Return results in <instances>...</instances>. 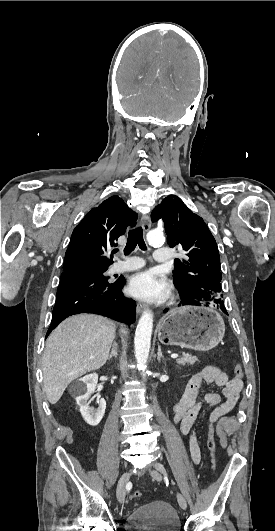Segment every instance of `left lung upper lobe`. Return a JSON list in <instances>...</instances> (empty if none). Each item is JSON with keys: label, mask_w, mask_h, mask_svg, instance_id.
Instances as JSON below:
<instances>
[{"label": "left lung upper lobe", "mask_w": 275, "mask_h": 531, "mask_svg": "<svg viewBox=\"0 0 275 531\" xmlns=\"http://www.w3.org/2000/svg\"><path fill=\"white\" fill-rule=\"evenodd\" d=\"M162 219L167 242L185 252L175 261L173 282L182 305H211L226 311L221 292L220 257L216 241L201 217L177 196H167L151 213Z\"/></svg>", "instance_id": "5c2ea615"}]
</instances>
